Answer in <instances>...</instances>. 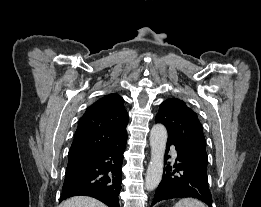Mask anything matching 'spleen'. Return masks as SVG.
<instances>
[{"label":"spleen","instance_id":"3e777b00","mask_svg":"<svg viewBox=\"0 0 261 207\" xmlns=\"http://www.w3.org/2000/svg\"><path fill=\"white\" fill-rule=\"evenodd\" d=\"M173 207H206L202 202L193 198H184L178 201Z\"/></svg>","mask_w":261,"mask_h":207}]
</instances>
